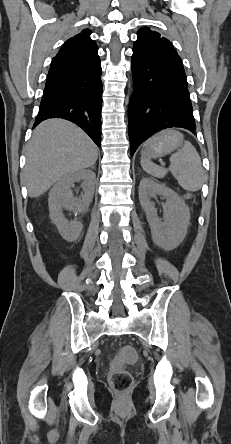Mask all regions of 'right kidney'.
Instances as JSON below:
<instances>
[{
  "label": "right kidney",
  "mask_w": 231,
  "mask_h": 444,
  "mask_svg": "<svg viewBox=\"0 0 231 444\" xmlns=\"http://www.w3.org/2000/svg\"><path fill=\"white\" fill-rule=\"evenodd\" d=\"M96 175L91 170H81L71 173L59 180L49 192V213L50 219L56 225L62 237L67 241H75L80 236L83 224L79 221L69 222L63 209L81 213L91 203L94 195ZM84 193L81 200L76 201L73 197L71 187L75 182H80Z\"/></svg>",
  "instance_id": "1"
}]
</instances>
